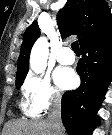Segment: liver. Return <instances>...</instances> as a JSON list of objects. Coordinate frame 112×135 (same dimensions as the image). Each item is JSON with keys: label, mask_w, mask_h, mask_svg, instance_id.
<instances>
[{"label": "liver", "mask_w": 112, "mask_h": 135, "mask_svg": "<svg viewBox=\"0 0 112 135\" xmlns=\"http://www.w3.org/2000/svg\"><path fill=\"white\" fill-rule=\"evenodd\" d=\"M3 135H53L47 121L15 120L5 125Z\"/></svg>", "instance_id": "obj_1"}]
</instances>
